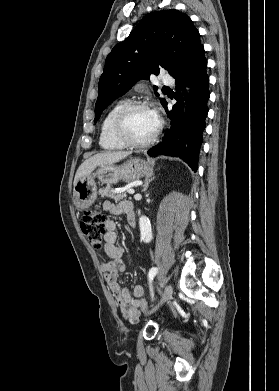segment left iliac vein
Instances as JSON below:
<instances>
[{
	"instance_id": "1",
	"label": "left iliac vein",
	"mask_w": 279,
	"mask_h": 391,
	"mask_svg": "<svg viewBox=\"0 0 279 391\" xmlns=\"http://www.w3.org/2000/svg\"><path fill=\"white\" fill-rule=\"evenodd\" d=\"M172 294H173V287L172 285L168 284L165 287V290L162 294L159 304L156 307H154L150 313L156 312L164 303L168 302L171 299Z\"/></svg>"
}]
</instances>
